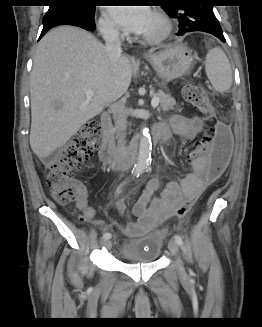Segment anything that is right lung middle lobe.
<instances>
[{
	"instance_id": "right-lung-middle-lobe-1",
	"label": "right lung middle lobe",
	"mask_w": 262,
	"mask_h": 327,
	"mask_svg": "<svg viewBox=\"0 0 262 327\" xmlns=\"http://www.w3.org/2000/svg\"><path fill=\"white\" fill-rule=\"evenodd\" d=\"M60 1H65V4H60V5H56V6H50L49 7V11L52 10H66V11H74L86 16H94L95 15V6L92 4L89 5H76L73 4L72 1L74 0H60Z\"/></svg>"
}]
</instances>
